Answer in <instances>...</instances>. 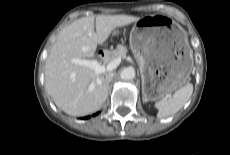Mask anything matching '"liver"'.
Masks as SVG:
<instances>
[{"label": "liver", "instance_id": "1", "mask_svg": "<svg viewBox=\"0 0 230 155\" xmlns=\"http://www.w3.org/2000/svg\"><path fill=\"white\" fill-rule=\"evenodd\" d=\"M138 19L130 15L88 16L60 31L45 63L46 90L58 108L72 116H84L102 107L109 89L105 74H95L72 59L90 60L97 45L114 29Z\"/></svg>", "mask_w": 230, "mask_h": 155}]
</instances>
